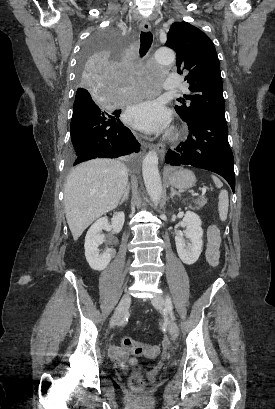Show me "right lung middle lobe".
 <instances>
[{
  "label": "right lung middle lobe",
  "mask_w": 275,
  "mask_h": 409,
  "mask_svg": "<svg viewBox=\"0 0 275 409\" xmlns=\"http://www.w3.org/2000/svg\"><path fill=\"white\" fill-rule=\"evenodd\" d=\"M84 48L78 70L74 71L80 90L73 105L71 144L67 164L62 168L63 178H68L79 163L111 158L126 165L140 151V144L121 122L128 97L108 92L129 90V83L122 82L120 58L115 57V51H128L125 30H95ZM129 166L131 172H136L140 163L131 160Z\"/></svg>",
  "instance_id": "dd1d6c3e"
}]
</instances>
